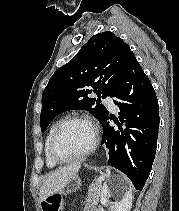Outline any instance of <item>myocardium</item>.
Returning a JSON list of instances; mask_svg holds the SVG:
<instances>
[{"mask_svg":"<svg viewBox=\"0 0 179 211\" xmlns=\"http://www.w3.org/2000/svg\"><path fill=\"white\" fill-rule=\"evenodd\" d=\"M75 121L86 122L92 127L93 134H94L93 141H92L91 145L89 146V148L86 149L84 152H82L76 156L70 157V158H63L56 151V142H57V139H58L61 131L63 130V128L66 125H68L69 123L75 122ZM99 139H100L99 128L91 118H89L88 116H85V115L69 116V117L63 119L62 121H60L59 124L57 125V127L55 128V130L52 134L51 140H50V144H49V153H50L52 159L58 164L71 163V162L83 159V158L89 156L90 154H92L96 150V148L99 144Z\"/></svg>","mask_w":179,"mask_h":211,"instance_id":"1","label":"myocardium"}]
</instances>
